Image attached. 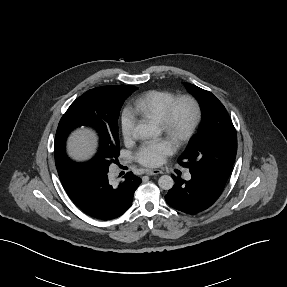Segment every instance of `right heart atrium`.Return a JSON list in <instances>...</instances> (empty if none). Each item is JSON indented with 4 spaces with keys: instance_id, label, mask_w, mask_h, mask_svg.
<instances>
[{
    "instance_id": "right-heart-atrium-1",
    "label": "right heart atrium",
    "mask_w": 287,
    "mask_h": 287,
    "mask_svg": "<svg viewBox=\"0 0 287 287\" xmlns=\"http://www.w3.org/2000/svg\"><path fill=\"white\" fill-rule=\"evenodd\" d=\"M121 133L125 140L131 139L135 135L136 117L132 110L126 108L120 117Z\"/></svg>"
}]
</instances>
